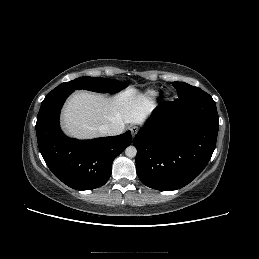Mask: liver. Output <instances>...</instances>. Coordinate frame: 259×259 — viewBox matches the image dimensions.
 Segmentation results:
<instances>
[{
  "mask_svg": "<svg viewBox=\"0 0 259 259\" xmlns=\"http://www.w3.org/2000/svg\"><path fill=\"white\" fill-rule=\"evenodd\" d=\"M153 102L129 87L113 97L88 91L74 93L62 111V128L78 139L101 136L99 127L121 120L125 125L139 124L153 109Z\"/></svg>",
  "mask_w": 259,
  "mask_h": 259,
  "instance_id": "obj_1",
  "label": "liver"
}]
</instances>
